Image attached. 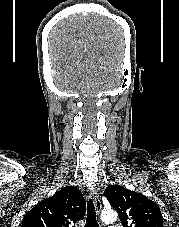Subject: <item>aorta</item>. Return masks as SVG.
I'll return each instance as SVG.
<instances>
[{
    "label": "aorta",
    "instance_id": "aorta-1",
    "mask_svg": "<svg viewBox=\"0 0 179 227\" xmlns=\"http://www.w3.org/2000/svg\"><path fill=\"white\" fill-rule=\"evenodd\" d=\"M116 219H117V213L112 209L103 210L101 213V220L104 223H112L116 221Z\"/></svg>",
    "mask_w": 179,
    "mask_h": 227
}]
</instances>
